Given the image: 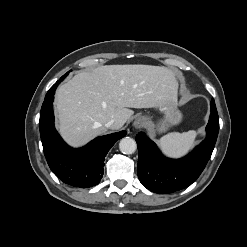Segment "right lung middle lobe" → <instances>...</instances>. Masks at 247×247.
Here are the masks:
<instances>
[{
	"mask_svg": "<svg viewBox=\"0 0 247 247\" xmlns=\"http://www.w3.org/2000/svg\"><path fill=\"white\" fill-rule=\"evenodd\" d=\"M68 73H69V72H68ZM68 73H66L65 75H63V76L60 78L59 82L62 81V80L68 75Z\"/></svg>",
	"mask_w": 247,
	"mask_h": 247,
	"instance_id": "dd1d6c3e",
	"label": "right lung middle lobe"
}]
</instances>
